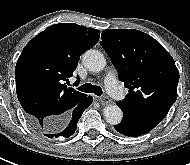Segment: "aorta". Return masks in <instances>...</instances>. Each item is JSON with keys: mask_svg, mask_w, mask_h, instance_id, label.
Masks as SVG:
<instances>
[{"mask_svg": "<svg viewBox=\"0 0 190 165\" xmlns=\"http://www.w3.org/2000/svg\"><path fill=\"white\" fill-rule=\"evenodd\" d=\"M83 64L91 72H100L106 66L104 55L94 49L88 50L83 55ZM105 120L112 125L119 124L123 113L117 105H108L103 110Z\"/></svg>", "mask_w": 190, "mask_h": 165, "instance_id": "1", "label": "aorta"}]
</instances>
